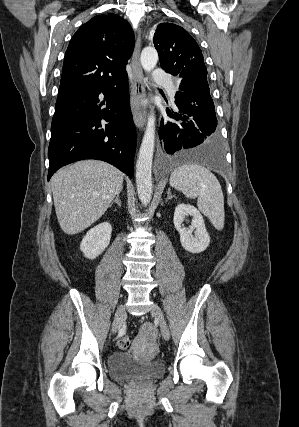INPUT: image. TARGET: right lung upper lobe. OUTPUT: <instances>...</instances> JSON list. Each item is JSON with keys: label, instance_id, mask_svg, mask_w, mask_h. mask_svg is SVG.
<instances>
[{"label": "right lung upper lobe", "instance_id": "cb5924a9", "mask_svg": "<svg viewBox=\"0 0 299 427\" xmlns=\"http://www.w3.org/2000/svg\"><path fill=\"white\" fill-rule=\"evenodd\" d=\"M133 49V30L120 16L97 15L90 19L70 40L58 100L121 78Z\"/></svg>", "mask_w": 299, "mask_h": 427}]
</instances>
